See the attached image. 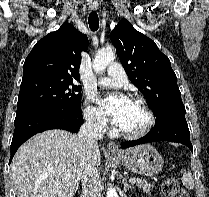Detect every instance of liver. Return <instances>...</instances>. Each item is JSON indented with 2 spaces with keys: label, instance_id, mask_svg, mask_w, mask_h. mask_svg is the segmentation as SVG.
<instances>
[{
  "label": "liver",
  "instance_id": "obj_1",
  "mask_svg": "<svg viewBox=\"0 0 209 197\" xmlns=\"http://www.w3.org/2000/svg\"><path fill=\"white\" fill-rule=\"evenodd\" d=\"M93 161L100 165L99 148ZM87 164V149L66 130H47L26 141L11 164L17 197H73Z\"/></svg>",
  "mask_w": 209,
  "mask_h": 197
}]
</instances>
